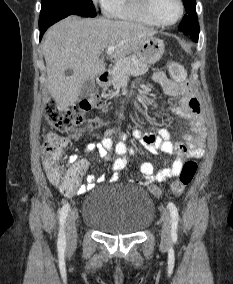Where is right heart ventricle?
Here are the masks:
<instances>
[{
    "label": "right heart ventricle",
    "instance_id": "1",
    "mask_svg": "<svg viewBox=\"0 0 233 284\" xmlns=\"http://www.w3.org/2000/svg\"><path fill=\"white\" fill-rule=\"evenodd\" d=\"M103 8L110 18L148 26L157 25L146 14L142 0H105Z\"/></svg>",
    "mask_w": 233,
    "mask_h": 284
}]
</instances>
